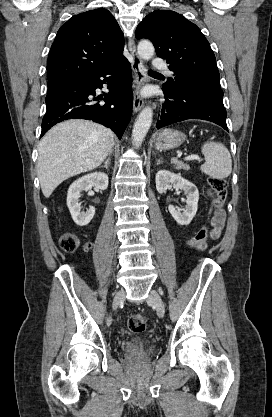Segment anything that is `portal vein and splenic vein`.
I'll return each instance as SVG.
<instances>
[{
  "label": "portal vein and splenic vein",
  "instance_id": "portal-vein-and-splenic-vein-1",
  "mask_svg": "<svg viewBox=\"0 0 272 417\" xmlns=\"http://www.w3.org/2000/svg\"><path fill=\"white\" fill-rule=\"evenodd\" d=\"M186 160H193V159H196V160H201V157H199V156H197V155H194V154H191V155H188L186 158H185Z\"/></svg>",
  "mask_w": 272,
  "mask_h": 417
}]
</instances>
